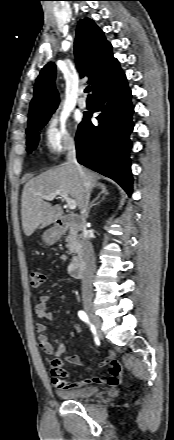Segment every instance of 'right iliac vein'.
<instances>
[{
    "label": "right iliac vein",
    "instance_id": "obj_1",
    "mask_svg": "<svg viewBox=\"0 0 174 440\" xmlns=\"http://www.w3.org/2000/svg\"><path fill=\"white\" fill-rule=\"evenodd\" d=\"M84 309H85L86 313L89 315V317L91 318L94 326L98 330L99 336H101V333H100L101 319H100V317L95 313L91 304L86 303L84 305Z\"/></svg>",
    "mask_w": 174,
    "mask_h": 440
}]
</instances>
